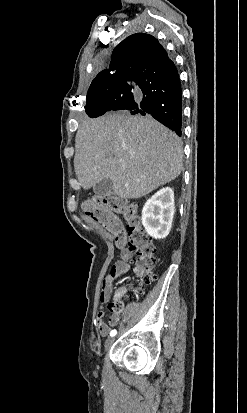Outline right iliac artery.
<instances>
[{"mask_svg":"<svg viewBox=\"0 0 247 413\" xmlns=\"http://www.w3.org/2000/svg\"><path fill=\"white\" fill-rule=\"evenodd\" d=\"M117 334V331L114 329L110 332V336L113 337Z\"/></svg>","mask_w":247,"mask_h":413,"instance_id":"right-iliac-artery-1","label":"right iliac artery"}]
</instances>
